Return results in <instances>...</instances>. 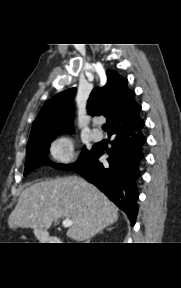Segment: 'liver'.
I'll use <instances>...</instances> for the list:
<instances>
[{
  "label": "liver",
  "mask_w": 181,
  "mask_h": 288,
  "mask_svg": "<svg viewBox=\"0 0 181 288\" xmlns=\"http://www.w3.org/2000/svg\"><path fill=\"white\" fill-rule=\"evenodd\" d=\"M61 217L73 222L67 236L85 241L116 222L118 208L94 185L69 176L27 187L10 214L8 225L47 234L53 221Z\"/></svg>",
  "instance_id": "obj_1"
}]
</instances>
